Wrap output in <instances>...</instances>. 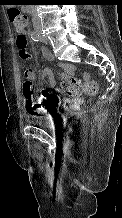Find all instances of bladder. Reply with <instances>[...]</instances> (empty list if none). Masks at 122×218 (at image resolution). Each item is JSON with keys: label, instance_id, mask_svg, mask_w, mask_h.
Instances as JSON below:
<instances>
[{"label": "bladder", "instance_id": "1", "mask_svg": "<svg viewBox=\"0 0 122 218\" xmlns=\"http://www.w3.org/2000/svg\"><path fill=\"white\" fill-rule=\"evenodd\" d=\"M45 119L46 116L44 114L39 113L30 114L27 117V121L35 125H42Z\"/></svg>", "mask_w": 122, "mask_h": 218}]
</instances>
